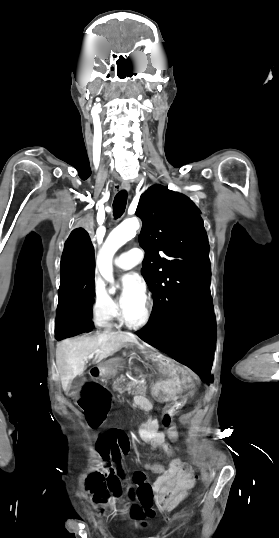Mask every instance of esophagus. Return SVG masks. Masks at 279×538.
<instances>
[{"instance_id": "1", "label": "esophagus", "mask_w": 279, "mask_h": 538, "mask_svg": "<svg viewBox=\"0 0 279 538\" xmlns=\"http://www.w3.org/2000/svg\"><path fill=\"white\" fill-rule=\"evenodd\" d=\"M121 187L123 188V190H127V191L130 190V184L128 182H126V181L122 182Z\"/></svg>"}]
</instances>
